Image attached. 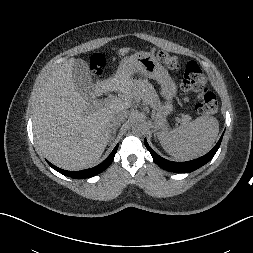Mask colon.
<instances>
[{
    "label": "colon",
    "mask_w": 253,
    "mask_h": 253,
    "mask_svg": "<svg viewBox=\"0 0 253 253\" xmlns=\"http://www.w3.org/2000/svg\"><path fill=\"white\" fill-rule=\"evenodd\" d=\"M156 55L159 62L168 69L173 71L180 69V63L175 56L165 51H158ZM105 64L106 60L100 54L94 55L90 59V67L97 75L102 72ZM205 84L206 77L198 63L195 61L188 62L184 68L182 88L196 93L195 111L199 115H214L218 110L217 97L205 87Z\"/></svg>",
    "instance_id": "1"
}]
</instances>
